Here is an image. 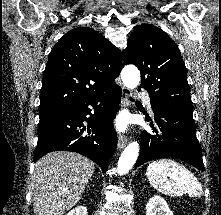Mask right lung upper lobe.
<instances>
[{"instance_id": "1", "label": "right lung upper lobe", "mask_w": 221, "mask_h": 215, "mask_svg": "<svg viewBox=\"0 0 221 215\" xmlns=\"http://www.w3.org/2000/svg\"><path fill=\"white\" fill-rule=\"evenodd\" d=\"M120 49L92 28L67 32L52 49L42 81L39 115L67 108L116 84Z\"/></svg>"}]
</instances>
